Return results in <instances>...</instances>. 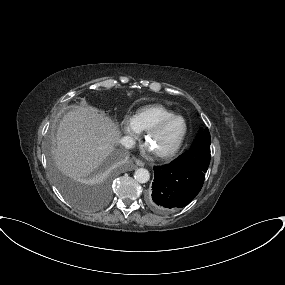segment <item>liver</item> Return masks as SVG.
<instances>
[{"instance_id":"obj_1","label":"liver","mask_w":285,"mask_h":285,"mask_svg":"<svg viewBox=\"0 0 285 285\" xmlns=\"http://www.w3.org/2000/svg\"><path fill=\"white\" fill-rule=\"evenodd\" d=\"M53 150L57 166L82 180L94 171L120 141L118 126L96 108L78 105L61 119Z\"/></svg>"}]
</instances>
